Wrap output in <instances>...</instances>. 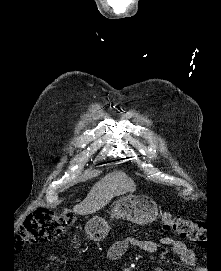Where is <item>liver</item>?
<instances>
[{
    "label": "liver",
    "mask_w": 221,
    "mask_h": 271,
    "mask_svg": "<svg viewBox=\"0 0 221 271\" xmlns=\"http://www.w3.org/2000/svg\"><path fill=\"white\" fill-rule=\"evenodd\" d=\"M117 183H119L117 173L113 175L112 179L104 177V179L95 183L84 201H81L78 205H74L73 209L75 213L87 215V213H96V211L102 209V207L107 205L110 199L114 197L115 193L112 191V187L113 185H117ZM116 193H125V191L120 189V191H116Z\"/></svg>",
    "instance_id": "1"
}]
</instances>
